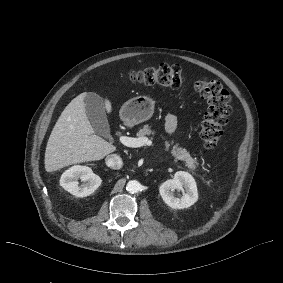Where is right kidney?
Segmentation results:
<instances>
[{
    "mask_svg": "<svg viewBox=\"0 0 283 283\" xmlns=\"http://www.w3.org/2000/svg\"><path fill=\"white\" fill-rule=\"evenodd\" d=\"M84 182L79 185L78 180ZM101 178L87 166L75 165L67 169L60 178V185L76 197H86L92 194L100 185Z\"/></svg>",
    "mask_w": 283,
    "mask_h": 283,
    "instance_id": "right-kidney-1",
    "label": "right kidney"
}]
</instances>
